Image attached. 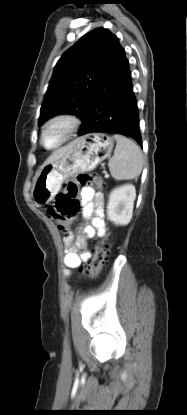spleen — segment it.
Here are the masks:
<instances>
[{"instance_id":"1","label":"spleen","mask_w":187,"mask_h":415,"mask_svg":"<svg viewBox=\"0 0 187 415\" xmlns=\"http://www.w3.org/2000/svg\"><path fill=\"white\" fill-rule=\"evenodd\" d=\"M116 148L108 166L116 180L137 179L143 168V155L139 146L122 135H114Z\"/></svg>"}]
</instances>
